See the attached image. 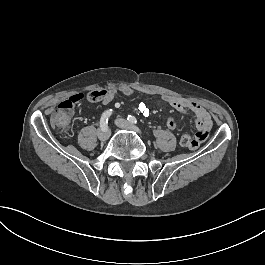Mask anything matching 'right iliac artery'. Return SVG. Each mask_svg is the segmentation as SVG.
Instances as JSON below:
<instances>
[{"mask_svg": "<svg viewBox=\"0 0 265 265\" xmlns=\"http://www.w3.org/2000/svg\"><path fill=\"white\" fill-rule=\"evenodd\" d=\"M112 111H113L112 109H109V110L105 111L102 114L101 119H100V127H101V129L106 130L108 128L107 123H108L109 117L112 114Z\"/></svg>", "mask_w": 265, "mask_h": 265, "instance_id": "1", "label": "right iliac artery"}]
</instances>
